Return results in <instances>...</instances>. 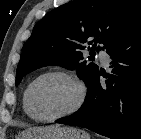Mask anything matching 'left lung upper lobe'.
Returning a JSON list of instances; mask_svg holds the SVG:
<instances>
[{"label": "left lung upper lobe", "instance_id": "5c2ea615", "mask_svg": "<svg viewBox=\"0 0 141 139\" xmlns=\"http://www.w3.org/2000/svg\"><path fill=\"white\" fill-rule=\"evenodd\" d=\"M140 24L139 0H74L61 5L35 25L24 44L15 85L37 68L60 65L75 69L88 86L98 66L83 61L84 43L94 44L89 57L92 61L97 43L107 49Z\"/></svg>", "mask_w": 141, "mask_h": 139}]
</instances>
